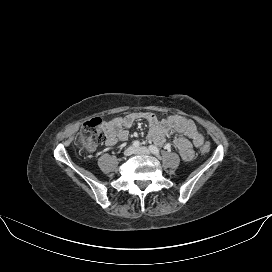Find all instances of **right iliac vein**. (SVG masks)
Instances as JSON below:
<instances>
[{
  "label": "right iliac vein",
  "instance_id": "right-iliac-vein-1",
  "mask_svg": "<svg viewBox=\"0 0 272 272\" xmlns=\"http://www.w3.org/2000/svg\"><path fill=\"white\" fill-rule=\"evenodd\" d=\"M134 147H132V146H129V147H127L126 149H125V151H124V155L125 156H131L133 153H134Z\"/></svg>",
  "mask_w": 272,
  "mask_h": 272
}]
</instances>
